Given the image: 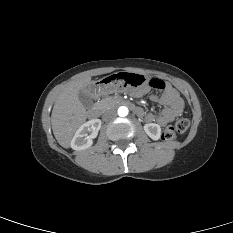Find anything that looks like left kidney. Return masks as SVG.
<instances>
[{
    "label": "left kidney",
    "mask_w": 233,
    "mask_h": 233,
    "mask_svg": "<svg viewBox=\"0 0 233 233\" xmlns=\"http://www.w3.org/2000/svg\"><path fill=\"white\" fill-rule=\"evenodd\" d=\"M144 131L153 140H159L161 137V127L155 123H148L144 125Z\"/></svg>",
    "instance_id": "obj_1"
}]
</instances>
